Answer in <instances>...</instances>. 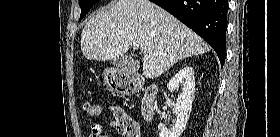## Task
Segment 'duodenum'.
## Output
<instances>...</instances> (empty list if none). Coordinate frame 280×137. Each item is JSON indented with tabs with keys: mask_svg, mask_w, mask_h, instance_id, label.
Listing matches in <instances>:
<instances>
[{
	"mask_svg": "<svg viewBox=\"0 0 280 137\" xmlns=\"http://www.w3.org/2000/svg\"><path fill=\"white\" fill-rule=\"evenodd\" d=\"M138 84H135V90ZM158 95V87L153 85L144 89L140 103V113L144 120L151 121L154 118L155 100Z\"/></svg>",
	"mask_w": 280,
	"mask_h": 137,
	"instance_id": "1",
	"label": "duodenum"
}]
</instances>
